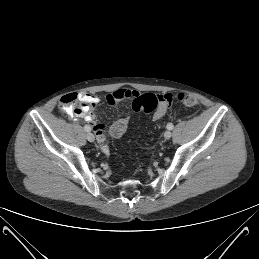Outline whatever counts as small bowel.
<instances>
[{
  "instance_id": "1",
  "label": "small bowel",
  "mask_w": 259,
  "mask_h": 259,
  "mask_svg": "<svg viewBox=\"0 0 259 259\" xmlns=\"http://www.w3.org/2000/svg\"><path fill=\"white\" fill-rule=\"evenodd\" d=\"M138 95L139 92L137 90L119 88L108 93L106 95V101L110 105H115L122 100L134 99ZM158 99V106L153 115L154 120H160L166 115L169 105L172 101V95L170 93L160 94L158 95ZM98 102V97L89 93H81L79 95L67 94L61 98L60 107L64 111L68 112L71 116L82 119L86 123H89L95 131L97 141L101 146L102 151L107 152L108 146L105 145L106 127L103 123L97 122L96 118L88 113L92 107L98 104ZM77 104H79L80 107L75 109L74 107Z\"/></svg>"
}]
</instances>
